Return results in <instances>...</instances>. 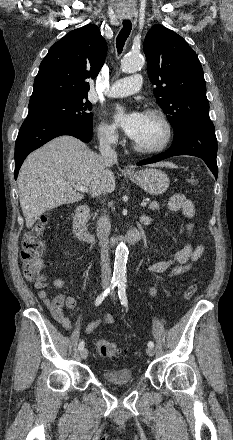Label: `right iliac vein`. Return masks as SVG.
Here are the masks:
<instances>
[{"instance_id":"1","label":"right iliac vein","mask_w":233,"mask_h":440,"mask_svg":"<svg viewBox=\"0 0 233 440\" xmlns=\"http://www.w3.org/2000/svg\"><path fill=\"white\" fill-rule=\"evenodd\" d=\"M104 288H105V286H104ZM80 356H81L82 359H86L87 356H88V350L87 349H82L81 352H80Z\"/></svg>"}]
</instances>
